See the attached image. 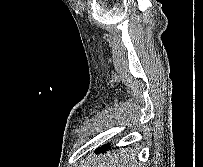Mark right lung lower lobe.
Returning a JSON list of instances; mask_svg holds the SVG:
<instances>
[{"label": "right lung lower lobe", "instance_id": "obj_1", "mask_svg": "<svg viewBox=\"0 0 203 167\" xmlns=\"http://www.w3.org/2000/svg\"><path fill=\"white\" fill-rule=\"evenodd\" d=\"M108 147H109V145L106 144V145H103L102 147H100L98 150H99V151H104V150H106Z\"/></svg>", "mask_w": 203, "mask_h": 167}]
</instances>
